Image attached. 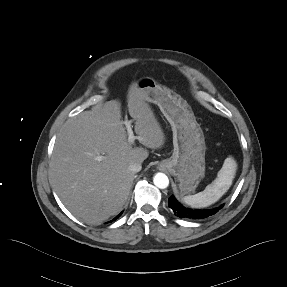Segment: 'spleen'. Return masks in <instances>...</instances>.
I'll return each instance as SVG.
<instances>
[{"instance_id":"spleen-1","label":"spleen","mask_w":287,"mask_h":287,"mask_svg":"<svg viewBox=\"0 0 287 287\" xmlns=\"http://www.w3.org/2000/svg\"><path fill=\"white\" fill-rule=\"evenodd\" d=\"M237 170V163L232 157H227L217 178L205 190L195 195L185 196L182 200L194 208L207 207L217 202L230 188Z\"/></svg>"}]
</instances>
